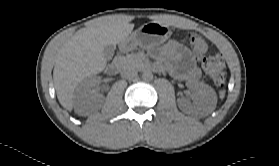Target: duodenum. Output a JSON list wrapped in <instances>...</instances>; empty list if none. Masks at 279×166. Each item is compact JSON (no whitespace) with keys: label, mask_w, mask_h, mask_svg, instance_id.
I'll list each match as a JSON object with an SVG mask.
<instances>
[{"label":"duodenum","mask_w":279,"mask_h":166,"mask_svg":"<svg viewBox=\"0 0 279 166\" xmlns=\"http://www.w3.org/2000/svg\"><path fill=\"white\" fill-rule=\"evenodd\" d=\"M130 43H125L122 48L120 49L119 53L117 56L113 59V61L109 64L108 66V72L112 75L117 74L124 62V54L130 50Z\"/></svg>","instance_id":"obj_1"}]
</instances>
